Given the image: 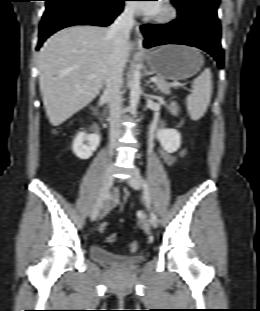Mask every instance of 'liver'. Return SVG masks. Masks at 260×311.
I'll return each mask as SVG.
<instances>
[{
	"label": "liver",
	"instance_id": "obj_1",
	"mask_svg": "<svg viewBox=\"0 0 260 311\" xmlns=\"http://www.w3.org/2000/svg\"><path fill=\"white\" fill-rule=\"evenodd\" d=\"M108 28L72 26L55 33L39 52V85L49 122L59 126L99 94L111 67ZM132 44L125 47V63ZM95 74L94 77H90Z\"/></svg>",
	"mask_w": 260,
	"mask_h": 311
}]
</instances>
